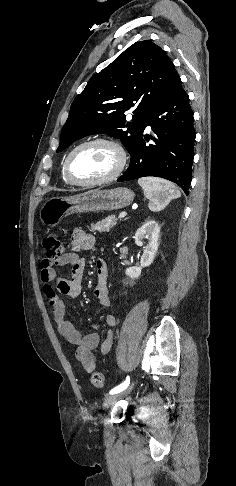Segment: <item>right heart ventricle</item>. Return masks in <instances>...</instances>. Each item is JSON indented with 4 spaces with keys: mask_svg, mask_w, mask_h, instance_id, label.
I'll list each match as a JSON object with an SVG mask.
<instances>
[{
    "mask_svg": "<svg viewBox=\"0 0 236 486\" xmlns=\"http://www.w3.org/2000/svg\"><path fill=\"white\" fill-rule=\"evenodd\" d=\"M61 174H62V178L64 180L65 183H69V181L66 179L65 175H64V164L62 166V170H61Z\"/></svg>",
    "mask_w": 236,
    "mask_h": 486,
    "instance_id": "e07e8e85",
    "label": "right heart ventricle"
}]
</instances>
